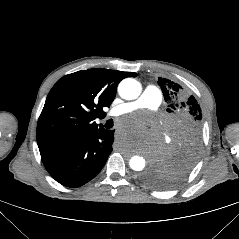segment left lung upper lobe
<instances>
[{
    "label": "left lung upper lobe",
    "instance_id": "5c2ea615",
    "mask_svg": "<svg viewBox=\"0 0 239 239\" xmlns=\"http://www.w3.org/2000/svg\"><path fill=\"white\" fill-rule=\"evenodd\" d=\"M167 102L169 138L167 148L143 175L152 187L165 189L178 184L194 166L201 148L202 112L195 97L180 84L159 78Z\"/></svg>",
    "mask_w": 239,
    "mask_h": 239
}]
</instances>
